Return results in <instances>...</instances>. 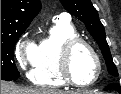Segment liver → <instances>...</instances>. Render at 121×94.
I'll use <instances>...</instances> for the list:
<instances>
[{"label":"liver","instance_id":"liver-1","mask_svg":"<svg viewBox=\"0 0 121 94\" xmlns=\"http://www.w3.org/2000/svg\"><path fill=\"white\" fill-rule=\"evenodd\" d=\"M1 94H82V93L79 92L64 93L63 91L50 90L44 88H22L15 85L14 83L5 82L1 80Z\"/></svg>","mask_w":121,"mask_h":94}]
</instances>
